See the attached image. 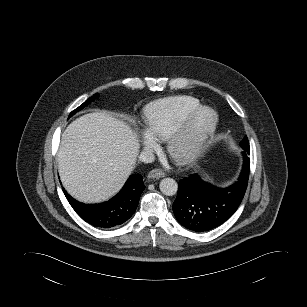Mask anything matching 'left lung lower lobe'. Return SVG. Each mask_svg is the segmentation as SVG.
Here are the masks:
<instances>
[{"label":"left lung lower lobe","mask_w":307,"mask_h":307,"mask_svg":"<svg viewBox=\"0 0 307 307\" xmlns=\"http://www.w3.org/2000/svg\"><path fill=\"white\" fill-rule=\"evenodd\" d=\"M244 165L238 181L227 188H217L202 181L197 174L180 180L173 203L178 222L189 230L204 232L227 221L239 207L248 184L250 159L243 152Z\"/></svg>","instance_id":"left-lung-lower-lobe-1"}]
</instances>
